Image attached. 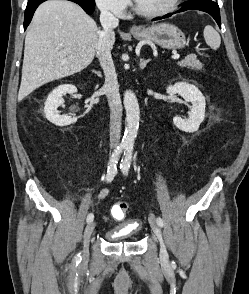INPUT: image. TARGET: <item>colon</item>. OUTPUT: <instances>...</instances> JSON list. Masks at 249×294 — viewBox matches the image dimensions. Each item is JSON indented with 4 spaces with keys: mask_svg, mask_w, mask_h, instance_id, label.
Segmentation results:
<instances>
[{
    "mask_svg": "<svg viewBox=\"0 0 249 294\" xmlns=\"http://www.w3.org/2000/svg\"><path fill=\"white\" fill-rule=\"evenodd\" d=\"M128 211V204L126 202H119L113 207V215L117 219L123 218Z\"/></svg>",
    "mask_w": 249,
    "mask_h": 294,
    "instance_id": "1",
    "label": "colon"
}]
</instances>
